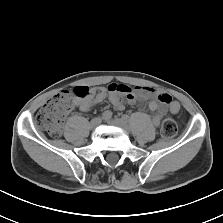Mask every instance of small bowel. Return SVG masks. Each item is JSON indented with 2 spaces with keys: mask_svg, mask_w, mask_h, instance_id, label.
<instances>
[{
  "mask_svg": "<svg viewBox=\"0 0 223 223\" xmlns=\"http://www.w3.org/2000/svg\"><path fill=\"white\" fill-rule=\"evenodd\" d=\"M122 97H125L130 104H135L152 97L153 99L147 102L146 107L155 113L153 117L155 126L161 124L163 116L167 112L176 114L180 110L179 104L167 93L149 87H136L132 89L125 84L119 83H111L106 88H94L91 96L84 100H76L75 106L83 112H88L95 104L108 99L115 110L121 111L124 109Z\"/></svg>",
  "mask_w": 223,
  "mask_h": 223,
  "instance_id": "c3829d8e",
  "label": "small bowel"
}]
</instances>
